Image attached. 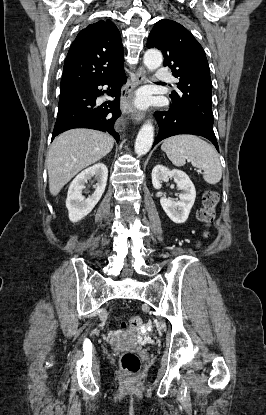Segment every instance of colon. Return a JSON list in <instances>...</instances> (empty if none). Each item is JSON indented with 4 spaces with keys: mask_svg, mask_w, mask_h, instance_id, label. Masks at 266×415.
<instances>
[{
    "mask_svg": "<svg viewBox=\"0 0 266 415\" xmlns=\"http://www.w3.org/2000/svg\"><path fill=\"white\" fill-rule=\"evenodd\" d=\"M218 194L215 191L208 190L203 196V206L198 211V219L204 225H210L215 218V208L218 203ZM143 323L139 317H131L127 322L122 323L123 328H129L135 331L141 329ZM120 365L123 371L129 376H135L141 368V360L137 353L125 351L120 356Z\"/></svg>",
    "mask_w": 266,
    "mask_h": 415,
    "instance_id": "5ec220e1",
    "label": "colon"
}]
</instances>
